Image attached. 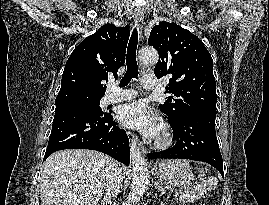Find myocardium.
<instances>
[{
    "mask_svg": "<svg viewBox=\"0 0 269 205\" xmlns=\"http://www.w3.org/2000/svg\"><path fill=\"white\" fill-rule=\"evenodd\" d=\"M171 144V138L167 132H163L156 140L155 147L159 149L167 148Z\"/></svg>",
    "mask_w": 269,
    "mask_h": 205,
    "instance_id": "obj_1",
    "label": "myocardium"
}]
</instances>
